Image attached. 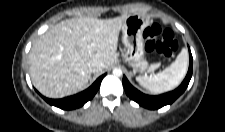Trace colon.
<instances>
[{
    "label": "colon",
    "mask_w": 225,
    "mask_h": 132,
    "mask_svg": "<svg viewBox=\"0 0 225 132\" xmlns=\"http://www.w3.org/2000/svg\"><path fill=\"white\" fill-rule=\"evenodd\" d=\"M143 36L148 50H155L165 57H171L178 48L173 32L169 29L163 30L157 24L148 26Z\"/></svg>",
    "instance_id": "colon-1"
}]
</instances>
